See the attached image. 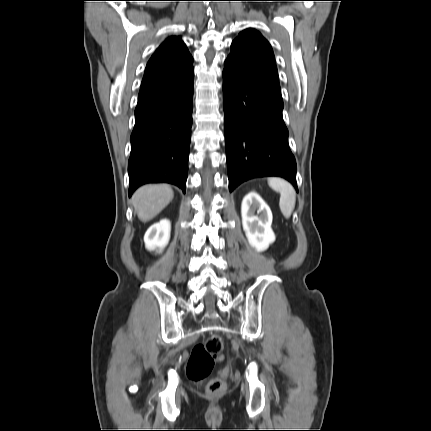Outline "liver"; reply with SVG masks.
<instances>
[{
    "instance_id": "1",
    "label": "liver",
    "mask_w": 431,
    "mask_h": 431,
    "mask_svg": "<svg viewBox=\"0 0 431 431\" xmlns=\"http://www.w3.org/2000/svg\"><path fill=\"white\" fill-rule=\"evenodd\" d=\"M174 192L167 184L144 185L133 194L132 205L138 218L147 222L157 216L173 199Z\"/></svg>"
}]
</instances>
